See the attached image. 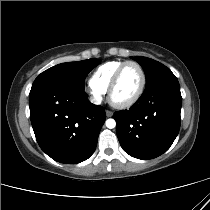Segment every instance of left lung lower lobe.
<instances>
[{"label": "left lung lower lobe", "instance_id": "left-lung-lower-lobe-1", "mask_svg": "<svg viewBox=\"0 0 210 210\" xmlns=\"http://www.w3.org/2000/svg\"><path fill=\"white\" fill-rule=\"evenodd\" d=\"M181 105L180 86L175 75L146 86L129 110L114 113L123 150L142 160L163 154L179 132Z\"/></svg>", "mask_w": 210, "mask_h": 210}]
</instances>
